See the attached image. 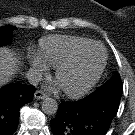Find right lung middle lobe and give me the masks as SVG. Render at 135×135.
I'll return each instance as SVG.
<instances>
[{"label": "right lung middle lobe", "mask_w": 135, "mask_h": 135, "mask_svg": "<svg viewBox=\"0 0 135 135\" xmlns=\"http://www.w3.org/2000/svg\"><path fill=\"white\" fill-rule=\"evenodd\" d=\"M15 26H4L0 28V46L11 41V36Z\"/></svg>", "instance_id": "obj_1"}]
</instances>
